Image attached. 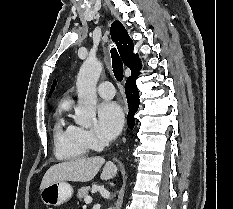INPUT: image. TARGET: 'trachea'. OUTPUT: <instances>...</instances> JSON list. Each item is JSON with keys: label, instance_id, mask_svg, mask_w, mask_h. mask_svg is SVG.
<instances>
[{"label": "trachea", "instance_id": "trachea-1", "mask_svg": "<svg viewBox=\"0 0 233 209\" xmlns=\"http://www.w3.org/2000/svg\"><path fill=\"white\" fill-rule=\"evenodd\" d=\"M112 68L117 81L123 80V63L115 48L111 49Z\"/></svg>", "mask_w": 233, "mask_h": 209}]
</instances>
